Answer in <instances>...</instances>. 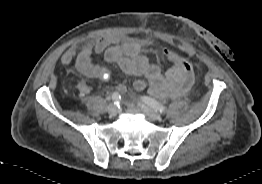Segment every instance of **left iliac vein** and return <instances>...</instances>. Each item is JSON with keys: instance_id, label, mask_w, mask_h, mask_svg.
Returning a JSON list of instances; mask_svg holds the SVG:
<instances>
[{"instance_id": "obj_1", "label": "left iliac vein", "mask_w": 262, "mask_h": 184, "mask_svg": "<svg viewBox=\"0 0 262 184\" xmlns=\"http://www.w3.org/2000/svg\"><path fill=\"white\" fill-rule=\"evenodd\" d=\"M142 110L152 119V120H160L161 114L157 111L152 110L150 107L146 105H141Z\"/></svg>"}]
</instances>
